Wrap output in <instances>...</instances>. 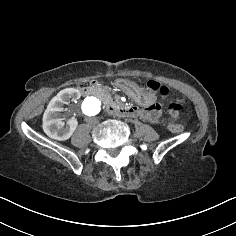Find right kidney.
Returning <instances> with one entry per match:
<instances>
[{
	"label": "right kidney",
	"mask_w": 236,
	"mask_h": 236,
	"mask_svg": "<svg viewBox=\"0 0 236 236\" xmlns=\"http://www.w3.org/2000/svg\"><path fill=\"white\" fill-rule=\"evenodd\" d=\"M80 92L74 88L62 90L53 98L43 116V130L52 139L64 141L71 137L78 122L75 117H65V110L80 98Z\"/></svg>",
	"instance_id": "1"
}]
</instances>
